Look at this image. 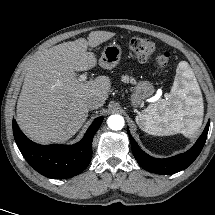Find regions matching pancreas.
Masks as SVG:
<instances>
[{"instance_id": "pancreas-1", "label": "pancreas", "mask_w": 215, "mask_h": 215, "mask_svg": "<svg viewBox=\"0 0 215 215\" xmlns=\"http://www.w3.org/2000/svg\"><path fill=\"white\" fill-rule=\"evenodd\" d=\"M122 79H123V81H131V82L134 81V79L129 76H123Z\"/></svg>"}]
</instances>
